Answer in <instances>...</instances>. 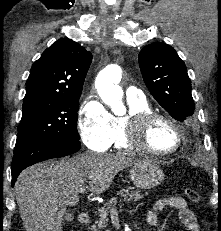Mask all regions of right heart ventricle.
I'll list each match as a JSON object with an SVG mask.
<instances>
[{
  "mask_svg": "<svg viewBox=\"0 0 221 231\" xmlns=\"http://www.w3.org/2000/svg\"><path fill=\"white\" fill-rule=\"evenodd\" d=\"M128 105H129L128 115H135L144 111L151 110L146 100H142V101L128 100ZM127 116L114 118V137L111 145H113L115 148L119 150H131V148L126 143L124 137V120Z\"/></svg>",
  "mask_w": 221,
  "mask_h": 231,
  "instance_id": "1",
  "label": "right heart ventricle"
}]
</instances>
